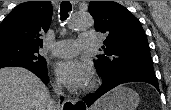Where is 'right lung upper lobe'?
I'll list each match as a JSON object with an SVG mask.
<instances>
[{
    "label": "right lung upper lobe",
    "mask_w": 171,
    "mask_h": 110,
    "mask_svg": "<svg viewBox=\"0 0 171 110\" xmlns=\"http://www.w3.org/2000/svg\"><path fill=\"white\" fill-rule=\"evenodd\" d=\"M51 1H29L15 7L0 25V45L16 44L39 49L52 17Z\"/></svg>",
    "instance_id": "1"
}]
</instances>
